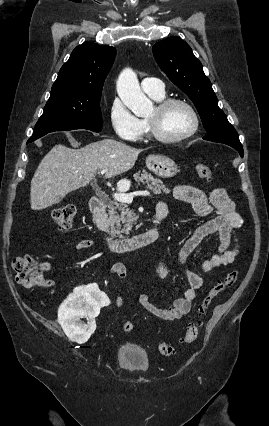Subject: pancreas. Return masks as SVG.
<instances>
[{"mask_svg": "<svg viewBox=\"0 0 269 426\" xmlns=\"http://www.w3.org/2000/svg\"><path fill=\"white\" fill-rule=\"evenodd\" d=\"M134 179L138 182L146 184L147 189L152 190L155 194H161L162 192L167 194L170 192V190L163 184L160 179L154 178L146 171H143L141 175L139 173L134 174ZM108 215V223L112 227V233L115 234L125 232L128 235L132 229L133 223L136 220L134 213L128 208V206L118 201L109 202ZM122 224L123 228L120 231ZM115 228L117 230H115Z\"/></svg>", "mask_w": 269, "mask_h": 426, "instance_id": "cf45deb5", "label": "pancreas"}]
</instances>
